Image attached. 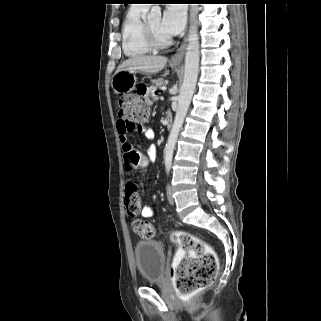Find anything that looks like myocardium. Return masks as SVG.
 I'll return each instance as SVG.
<instances>
[{
  "instance_id": "myocardium-1",
  "label": "myocardium",
  "mask_w": 321,
  "mask_h": 321,
  "mask_svg": "<svg viewBox=\"0 0 321 321\" xmlns=\"http://www.w3.org/2000/svg\"><path fill=\"white\" fill-rule=\"evenodd\" d=\"M143 37H144L146 44L151 49H156V50L165 49L173 43V40L171 37H169L165 40L158 39L155 36V34L153 33V31L147 21L143 22Z\"/></svg>"
}]
</instances>
